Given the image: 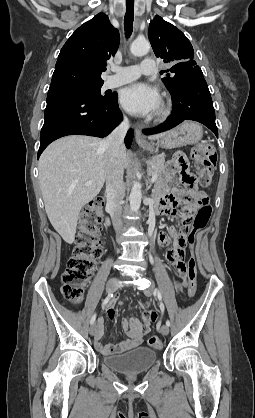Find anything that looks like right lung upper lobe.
<instances>
[{
    "label": "right lung upper lobe",
    "instance_id": "right-lung-upper-lobe-1",
    "mask_svg": "<svg viewBox=\"0 0 255 418\" xmlns=\"http://www.w3.org/2000/svg\"><path fill=\"white\" fill-rule=\"evenodd\" d=\"M120 42L107 15L97 14L80 26L62 47L50 87L72 83H103L102 71Z\"/></svg>",
    "mask_w": 255,
    "mask_h": 418
}]
</instances>
